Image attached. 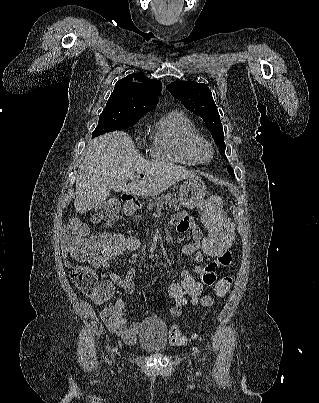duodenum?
I'll list each match as a JSON object with an SVG mask.
<instances>
[{
    "mask_svg": "<svg viewBox=\"0 0 319 403\" xmlns=\"http://www.w3.org/2000/svg\"><path fill=\"white\" fill-rule=\"evenodd\" d=\"M122 200L124 203V210L127 214L132 213L141 206V203L137 199L127 194L122 196Z\"/></svg>",
    "mask_w": 319,
    "mask_h": 403,
    "instance_id": "duodenum-1",
    "label": "duodenum"
}]
</instances>
